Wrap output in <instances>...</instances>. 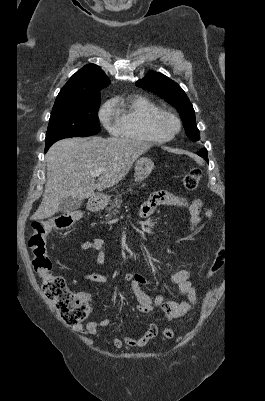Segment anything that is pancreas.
Wrapping results in <instances>:
<instances>
[{
  "mask_svg": "<svg viewBox=\"0 0 265 401\" xmlns=\"http://www.w3.org/2000/svg\"><path fill=\"white\" fill-rule=\"evenodd\" d=\"M127 190H132L131 186H129ZM123 194H125V192H123ZM121 198L122 194H117L113 203H110V207H105V211H107V215H105V217H107V219H112V217H116L117 213H119L118 209H120V205L122 203Z\"/></svg>",
  "mask_w": 265,
  "mask_h": 401,
  "instance_id": "1",
  "label": "pancreas"
}]
</instances>
